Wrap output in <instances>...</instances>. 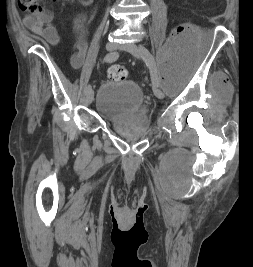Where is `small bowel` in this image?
Segmentation results:
<instances>
[{
	"label": "small bowel",
	"mask_w": 253,
	"mask_h": 267,
	"mask_svg": "<svg viewBox=\"0 0 253 267\" xmlns=\"http://www.w3.org/2000/svg\"><path fill=\"white\" fill-rule=\"evenodd\" d=\"M91 2L92 0H81V4L83 5L90 4ZM53 18L52 12L44 11L26 15L23 23L32 33L43 38L52 46H57L59 44V36L53 24ZM92 19V15L80 13L72 21V31L77 49V52L72 56L71 60L74 68L81 67L85 61L89 46L88 27Z\"/></svg>",
	"instance_id": "small-bowel-1"
}]
</instances>
